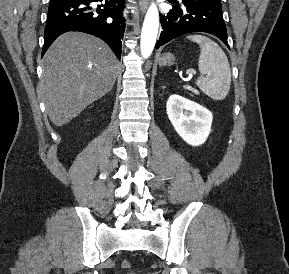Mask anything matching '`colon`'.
Listing matches in <instances>:
<instances>
[{
    "mask_svg": "<svg viewBox=\"0 0 289 274\" xmlns=\"http://www.w3.org/2000/svg\"><path fill=\"white\" fill-rule=\"evenodd\" d=\"M122 268L125 270H130L132 268V263L129 260H125L122 262ZM129 274H133V273H129Z\"/></svg>",
    "mask_w": 289,
    "mask_h": 274,
    "instance_id": "colon-1",
    "label": "colon"
}]
</instances>
